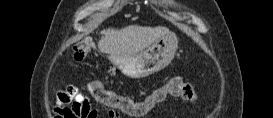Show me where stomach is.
<instances>
[{
    "label": "stomach",
    "mask_w": 273,
    "mask_h": 118,
    "mask_svg": "<svg viewBox=\"0 0 273 118\" xmlns=\"http://www.w3.org/2000/svg\"><path fill=\"white\" fill-rule=\"evenodd\" d=\"M177 46L176 34L169 32L145 50L132 55H113L109 59L125 76L138 79L168 66L175 56Z\"/></svg>",
    "instance_id": "stomach-1"
}]
</instances>
